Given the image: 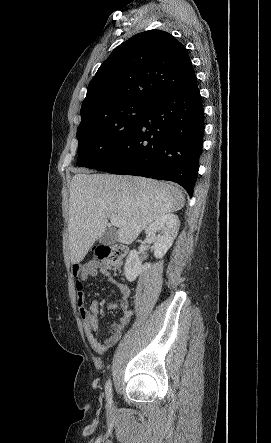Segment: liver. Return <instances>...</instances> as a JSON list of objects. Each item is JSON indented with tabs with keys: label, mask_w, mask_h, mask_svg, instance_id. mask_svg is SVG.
<instances>
[{
	"label": "liver",
	"mask_w": 271,
	"mask_h": 443,
	"mask_svg": "<svg viewBox=\"0 0 271 443\" xmlns=\"http://www.w3.org/2000/svg\"><path fill=\"white\" fill-rule=\"evenodd\" d=\"M185 198L168 182L137 176L78 172L69 196V249L72 263H80L106 231L111 214L120 223L117 239L132 243L142 229L168 212L183 208Z\"/></svg>",
	"instance_id": "liver-1"
}]
</instances>
